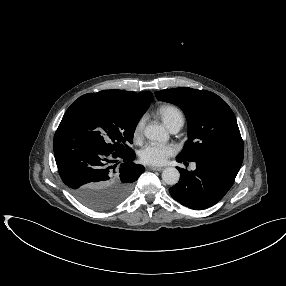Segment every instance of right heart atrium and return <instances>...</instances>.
I'll return each mask as SVG.
<instances>
[{"label": "right heart atrium", "mask_w": 286, "mask_h": 286, "mask_svg": "<svg viewBox=\"0 0 286 286\" xmlns=\"http://www.w3.org/2000/svg\"><path fill=\"white\" fill-rule=\"evenodd\" d=\"M145 124V116H142L135 124L133 129V138L136 142L142 139L143 129Z\"/></svg>", "instance_id": "d8ad5b80"}]
</instances>
